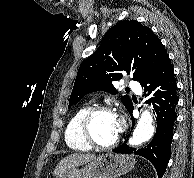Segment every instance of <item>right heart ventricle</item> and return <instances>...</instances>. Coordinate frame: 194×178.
I'll return each instance as SVG.
<instances>
[{
	"label": "right heart ventricle",
	"mask_w": 194,
	"mask_h": 178,
	"mask_svg": "<svg viewBox=\"0 0 194 178\" xmlns=\"http://www.w3.org/2000/svg\"><path fill=\"white\" fill-rule=\"evenodd\" d=\"M89 108V105H84L77 109L67 123L64 137L67 146L72 150L87 151L91 149V146L81 138L79 132L80 121Z\"/></svg>",
	"instance_id": "right-heart-ventricle-1"
}]
</instances>
